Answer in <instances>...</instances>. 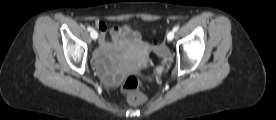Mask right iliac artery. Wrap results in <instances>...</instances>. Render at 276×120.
<instances>
[{
    "instance_id": "82829eb1",
    "label": "right iliac artery",
    "mask_w": 276,
    "mask_h": 120,
    "mask_svg": "<svg viewBox=\"0 0 276 120\" xmlns=\"http://www.w3.org/2000/svg\"><path fill=\"white\" fill-rule=\"evenodd\" d=\"M87 31L91 32L92 31V27L88 26L87 27Z\"/></svg>"
}]
</instances>
